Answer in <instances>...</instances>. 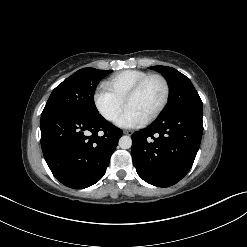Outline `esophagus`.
I'll use <instances>...</instances> for the list:
<instances>
[{
    "label": "esophagus",
    "instance_id": "1",
    "mask_svg": "<svg viewBox=\"0 0 247 247\" xmlns=\"http://www.w3.org/2000/svg\"><path fill=\"white\" fill-rule=\"evenodd\" d=\"M123 133L130 136L133 132L131 130H124Z\"/></svg>",
    "mask_w": 247,
    "mask_h": 247
}]
</instances>
